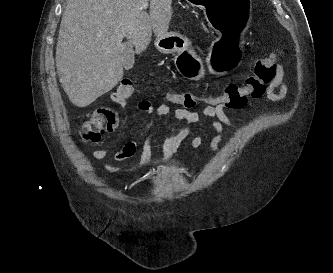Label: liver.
<instances>
[{"label":"liver","instance_id":"liver-1","mask_svg":"<svg viewBox=\"0 0 333 273\" xmlns=\"http://www.w3.org/2000/svg\"><path fill=\"white\" fill-rule=\"evenodd\" d=\"M144 1H68L56 46V68L74 105H90L122 79L124 37L140 54L148 47L152 30L157 37L168 31L172 0H150L149 13L141 8Z\"/></svg>","mask_w":333,"mask_h":273}]
</instances>
